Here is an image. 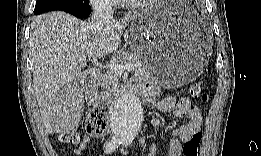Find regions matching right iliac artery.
<instances>
[{
	"label": "right iliac artery",
	"instance_id": "obj_1",
	"mask_svg": "<svg viewBox=\"0 0 261 156\" xmlns=\"http://www.w3.org/2000/svg\"><path fill=\"white\" fill-rule=\"evenodd\" d=\"M120 144L121 141L119 139H111L109 142H106L104 145L106 153L113 152Z\"/></svg>",
	"mask_w": 261,
	"mask_h": 156
}]
</instances>
